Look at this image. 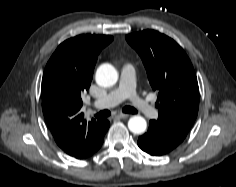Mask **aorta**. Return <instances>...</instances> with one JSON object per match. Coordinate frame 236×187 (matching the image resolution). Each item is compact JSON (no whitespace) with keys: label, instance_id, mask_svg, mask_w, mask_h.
Masks as SVG:
<instances>
[{"label":"aorta","instance_id":"762f6f07","mask_svg":"<svg viewBox=\"0 0 236 187\" xmlns=\"http://www.w3.org/2000/svg\"><path fill=\"white\" fill-rule=\"evenodd\" d=\"M96 82L99 86L110 87L118 80V73L111 64H102L96 71ZM147 127L146 120L141 116H133L128 121V128L134 134H142Z\"/></svg>","mask_w":236,"mask_h":187}]
</instances>
